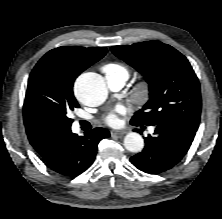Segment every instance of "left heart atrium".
Returning a JSON list of instances; mask_svg holds the SVG:
<instances>
[{"label": "left heart atrium", "instance_id": "obj_1", "mask_svg": "<svg viewBox=\"0 0 222 219\" xmlns=\"http://www.w3.org/2000/svg\"><path fill=\"white\" fill-rule=\"evenodd\" d=\"M124 109L122 107H118L116 110L110 112L105 117V122L111 127H117L120 124L119 116L124 114Z\"/></svg>", "mask_w": 222, "mask_h": 219}]
</instances>
